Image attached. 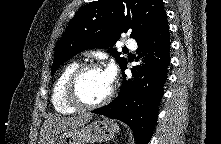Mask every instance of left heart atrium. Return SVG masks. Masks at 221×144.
<instances>
[{
    "label": "left heart atrium",
    "instance_id": "obj_1",
    "mask_svg": "<svg viewBox=\"0 0 221 144\" xmlns=\"http://www.w3.org/2000/svg\"><path fill=\"white\" fill-rule=\"evenodd\" d=\"M107 81L110 85H112L115 76H116V69L113 65H110L109 67H107V69L104 70Z\"/></svg>",
    "mask_w": 221,
    "mask_h": 144
}]
</instances>
